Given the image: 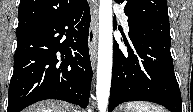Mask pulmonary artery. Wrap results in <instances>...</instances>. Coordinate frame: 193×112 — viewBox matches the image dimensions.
<instances>
[{
  "label": "pulmonary artery",
  "instance_id": "1",
  "mask_svg": "<svg viewBox=\"0 0 193 112\" xmlns=\"http://www.w3.org/2000/svg\"><path fill=\"white\" fill-rule=\"evenodd\" d=\"M114 11L115 13L119 16V18L121 19L125 29L128 30V22H127V17L123 11V9L120 6H115L114 7Z\"/></svg>",
  "mask_w": 193,
  "mask_h": 112
}]
</instances>
